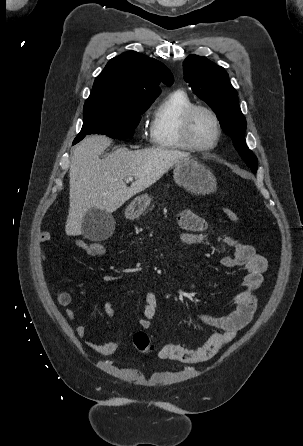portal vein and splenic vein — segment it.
<instances>
[{"instance_id":"portal-vein-and-splenic-vein-1","label":"portal vein and splenic vein","mask_w":303,"mask_h":446,"mask_svg":"<svg viewBox=\"0 0 303 446\" xmlns=\"http://www.w3.org/2000/svg\"><path fill=\"white\" fill-rule=\"evenodd\" d=\"M133 180V177H128L127 178V181H132Z\"/></svg>"}]
</instances>
